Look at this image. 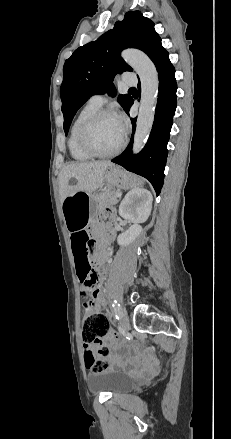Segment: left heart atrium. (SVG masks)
Returning a JSON list of instances; mask_svg holds the SVG:
<instances>
[{"instance_id":"39dd6f15","label":"left heart atrium","mask_w":231,"mask_h":439,"mask_svg":"<svg viewBox=\"0 0 231 439\" xmlns=\"http://www.w3.org/2000/svg\"><path fill=\"white\" fill-rule=\"evenodd\" d=\"M116 122L120 128V131L122 132V134H125L126 128H127V120L123 115H117L115 116Z\"/></svg>"}]
</instances>
